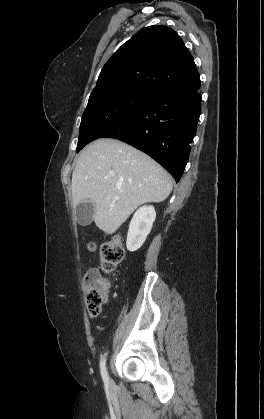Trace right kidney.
<instances>
[{
	"label": "right kidney",
	"mask_w": 264,
	"mask_h": 419,
	"mask_svg": "<svg viewBox=\"0 0 264 419\" xmlns=\"http://www.w3.org/2000/svg\"><path fill=\"white\" fill-rule=\"evenodd\" d=\"M155 218L156 211L153 206H142L135 212L127 234L126 247L128 251L134 252L143 245Z\"/></svg>",
	"instance_id": "obj_1"
}]
</instances>
